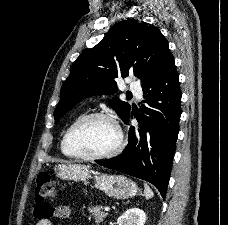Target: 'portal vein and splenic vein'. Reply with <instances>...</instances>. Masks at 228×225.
<instances>
[{"instance_id": "1", "label": "portal vein and splenic vein", "mask_w": 228, "mask_h": 225, "mask_svg": "<svg viewBox=\"0 0 228 225\" xmlns=\"http://www.w3.org/2000/svg\"><path fill=\"white\" fill-rule=\"evenodd\" d=\"M104 211H110L109 207H105Z\"/></svg>"}]
</instances>
